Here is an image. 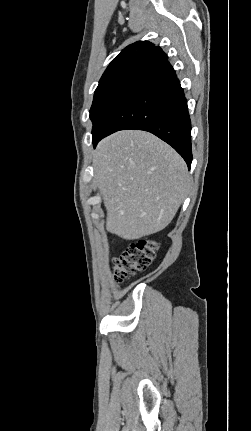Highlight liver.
I'll return each instance as SVG.
<instances>
[{
	"label": "liver",
	"instance_id": "liver-1",
	"mask_svg": "<svg viewBox=\"0 0 251 431\" xmlns=\"http://www.w3.org/2000/svg\"><path fill=\"white\" fill-rule=\"evenodd\" d=\"M93 167L107 211L106 228L125 240L168 226L189 186L180 155L144 131H119L104 138L93 155Z\"/></svg>",
	"mask_w": 251,
	"mask_h": 431
}]
</instances>
